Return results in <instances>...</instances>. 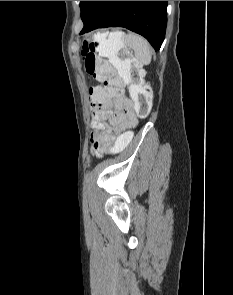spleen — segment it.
Segmentation results:
<instances>
[{"mask_svg":"<svg viewBox=\"0 0 233 295\" xmlns=\"http://www.w3.org/2000/svg\"><path fill=\"white\" fill-rule=\"evenodd\" d=\"M128 46L133 49L135 56L144 64L151 62V48L148 41L142 36L134 33L124 34L121 31L111 32L107 39L99 37V51L102 56L108 57L119 71L124 63L119 59L120 49Z\"/></svg>","mask_w":233,"mask_h":295,"instance_id":"obj_1","label":"spleen"}]
</instances>
